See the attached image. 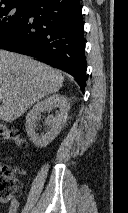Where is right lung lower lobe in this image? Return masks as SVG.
Returning a JSON list of instances; mask_svg holds the SVG:
<instances>
[{
	"label": "right lung lower lobe",
	"instance_id": "right-lung-lower-lobe-1",
	"mask_svg": "<svg viewBox=\"0 0 128 213\" xmlns=\"http://www.w3.org/2000/svg\"><path fill=\"white\" fill-rule=\"evenodd\" d=\"M0 48L48 61L85 89L87 64L79 0H37L23 24L0 41Z\"/></svg>",
	"mask_w": 128,
	"mask_h": 213
}]
</instances>
